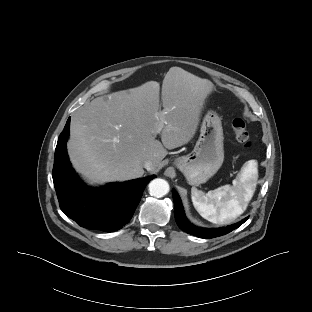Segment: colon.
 I'll list each match as a JSON object with an SVG mask.
<instances>
[{
  "instance_id": "colon-1",
  "label": "colon",
  "mask_w": 312,
  "mask_h": 312,
  "mask_svg": "<svg viewBox=\"0 0 312 312\" xmlns=\"http://www.w3.org/2000/svg\"><path fill=\"white\" fill-rule=\"evenodd\" d=\"M232 130L236 141L242 147L248 148L251 146L250 134L246 123L242 119L236 118L232 121Z\"/></svg>"
}]
</instances>
